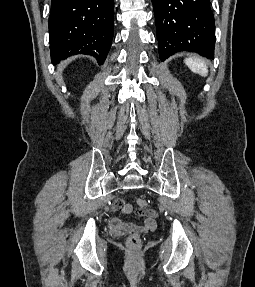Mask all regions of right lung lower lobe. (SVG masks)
<instances>
[{
    "mask_svg": "<svg viewBox=\"0 0 255 287\" xmlns=\"http://www.w3.org/2000/svg\"><path fill=\"white\" fill-rule=\"evenodd\" d=\"M52 62L76 54L104 63L113 38V0H51Z\"/></svg>",
    "mask_w": 255,
    "mask_h": 287,
    "instance_id": "obj_1",
    "label": "right lung lower lobe"
}]
</instances>
